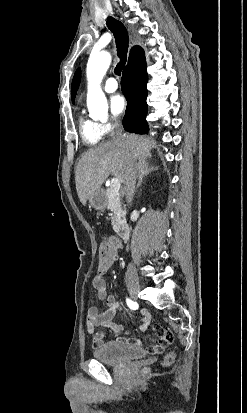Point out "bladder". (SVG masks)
<instances>
[{
	"label": "bladder",
	"instance_id": "31cf9c89",
	"mask_svg": "<svg viewBox=\"0 0 247 413\" xmlns=\"http://www.w3.org/2000/svg\"><path fill=\"white\" fill-rule=\"evenodd\" d=\"M93 354L94 358L106 363L124 364L133 359L143 358L145 351L138 346L112 341L96 349Z\"/></svg>",
	"mask_w": 247,
	"mask_h": 413
}]
</instances>
